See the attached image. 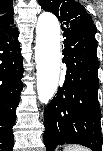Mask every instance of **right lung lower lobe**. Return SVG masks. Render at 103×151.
I'll list each match as a JSON object with an SVG mask.
<instances>
[{
  "label": "right lung lower lobe",
  "mask_w": 103,
  "mask_h": 151,
  "mask_svg": "<svg viewBox=\"0 0 103 151\" xmlns=\"http://www.w3.org/2000/svg\"><path fill=\"white\" fill-rule=\"evenodd\" d=\"M18 30L0 35V148L13 150L12 127L23 88V62Z\"/></svg>",
  "instance_id": "98d812e1"
}]
</instances>
